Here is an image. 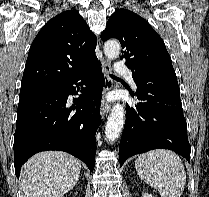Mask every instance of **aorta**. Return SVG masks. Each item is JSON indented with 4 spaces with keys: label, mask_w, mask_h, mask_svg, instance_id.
Returning a JSON list of instances; mask_svg holds the SVG:
<instances>
[{
    "label": "aorta",
    "mask_w": 209,
    "mask_h": 197,
    "mask_svg": "<svg viewBox=\"0 0 209 197\" xmlns=\"http://www.w3.org/2000/svg\"><path fill=\"white\" fill-rule=\"evenodd\" d=\"M120 43L116 40H109L104 44V53L108 59H116L120 54ZM124 107L116 103L108 117L105 127V134L109 141L114 142L120 136L124 127Z\"/></svg>",
    "instance_id": "762f6f07"
}]
</instances>
